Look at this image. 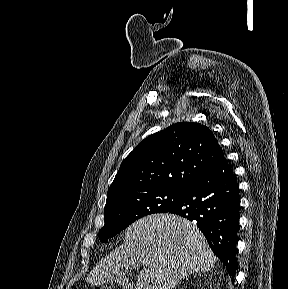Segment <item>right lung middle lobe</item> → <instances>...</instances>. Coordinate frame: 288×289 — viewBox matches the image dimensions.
Returning <instances> with one entry per match:
<instances>
[{"instance_id": "1", "label": "right lung middle lobe", "mask_w": 288, "mask_h": 289, "mask_svg": "<svg viewBox=\"0 0 288 289\" xmlns=\"http://www.w3.org/2000/svg\"><path fill=\"white\" fill-rule=\"evenodd\" d=\"M185 188H150L120 192L107 197L104 208L105 225L99 239L107 243L131 223L153 213L172 209L183 197Z\"/></svg>"}]
</instances>
